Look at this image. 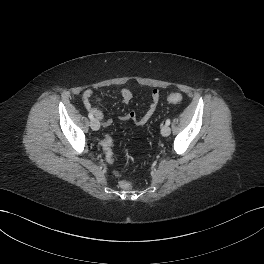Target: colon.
<instances>
[{"mask_svg": "<svg viewBox=\"0 0 264 264\" xmlns=\"http://www.w3.org/2000/svg\"><path fill=\"white\" fill-rule=\"evenodd\" d=\"M167 100L171 103H180L183 100V97L180 93L174 92L170 93L167 96ZM113 140L109 135H106L102 140V148L105 153V156H114L112 151ZM120 186L124 190H130L132 188V184L129 181H122Z\"/></svg>", "mask_w": 264, "mask_h": 264, "instance_id": "obj_1", "label": "colon"}]
</instances>
